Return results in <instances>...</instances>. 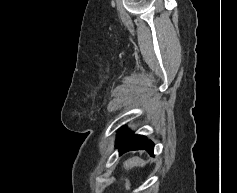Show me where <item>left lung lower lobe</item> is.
<instances>
[{"instance_id":"left-lung-lower-lobe-1","label":"left lung lower lobe","mask_w":237,"mask_h":193,"mask_svg":"<svg viewBox=\"0 0 237 193\" xmlns=\"http://www.w3.org/2000/svg\"><path fill=\"white\" fill-rule=\"evenodd\" d=\"M117 148L120 154L130 150H146L153 155L154 144L145 136L133 135L130 131L125 129L121 137L117 141Z\"/></svg>"}]
</instances>
